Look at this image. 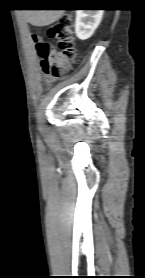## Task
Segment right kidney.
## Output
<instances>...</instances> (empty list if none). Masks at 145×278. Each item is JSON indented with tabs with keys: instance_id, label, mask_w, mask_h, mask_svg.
I'll return each mask as SVG.
<instances>
[{
	"instance_id": "ca27d5eb",
	"label": "right kidney",
	"mask_w": 145,
	"mask_h": 278,
	"mask_svg": "<svg viewBox=\"0 0 145 278\" xmlns=\"http://www.w3.org/2000/svg\"><path fill=\"white\" fill-rule=\"evenodd\" d=\"M103 12V10H76V36L81 40L90 38L100 24Z\"/></svg>"
}]
</instances>
